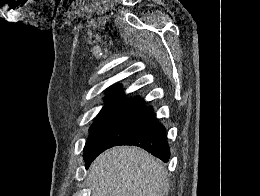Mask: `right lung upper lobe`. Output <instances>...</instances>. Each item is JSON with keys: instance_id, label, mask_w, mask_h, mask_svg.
Wrapping results in <instances>:
<instances>
[{"instance_id": "obj_1", "label": "right lung upper lobe", "mask_w": 260, "mask_h": 196, "mask_svg": "<svg viewBox=\"0 0 260 196\" xmlns=\"http://www.w3.org/2000/svg\"><path fill=\"white\" fill-rule=\"evenodd\" d=\"M108 95L105 97L107 99V102L105 106L107 105H134L138 107L144 106V101L140 99L138 96L133 98H126L124 97V94L120 88V85H114L109 88Z\"/></svg>"}]
</instances>
